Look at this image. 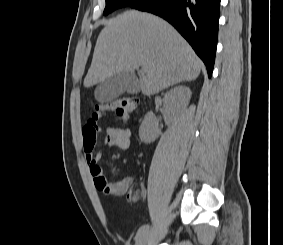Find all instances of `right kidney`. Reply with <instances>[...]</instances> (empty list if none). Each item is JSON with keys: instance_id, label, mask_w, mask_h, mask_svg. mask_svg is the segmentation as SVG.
Masks as SVG:
<instances>
[{"instance_id": "1", "label": "right kidney", "mask_w": 283, "mask_h": 245, "mask_svg": "<svg viewBox=\"0 0 283 245\" xmlns=\"http://www.w3.org/2000/svg\"><path fill=\"white\" fill-rule=\"evenodd\" d=\"M192 92L186 86H177L168 91L163 98L166 114L174 115L180 113L189 104ZM161 134L158 121L152 111L145 115L139 128V137L145 143H151Z\"/></svg>"}]
</instances>
